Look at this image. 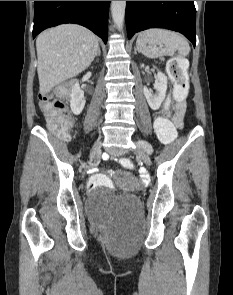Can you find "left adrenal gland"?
I'll use <instances>...</instances> for the list:
<instances>
[{
    "mask_svg": "<svg viewBox=\"0 0 233 295\" xmlns=\"http://www.w3.org/2000/svg\"><path fill=\"white\" fill-rule=\"evenodd\" d=\"M134 51H135V54H137V48L136 47L134 48Z\"/></svg>",
    "mask_w": 233,
    "mask_h": 295,
    "instance_id": "a2214340",
    "label": "left adrenal gland"
}]
</instances>
